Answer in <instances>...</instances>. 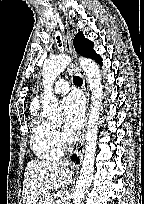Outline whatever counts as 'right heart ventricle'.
<instances>
[{"label":"right heart ventricle","instance_id":"1","mask_svg":"<svg viewBox=\"0 0 144 204\" xmlns=\"http://www.w3.org/2000/svg\"><path fill=\"white\" fill-rule=\"evenodd\" d=\"M30 144L33 153L40 160L55 161L63 154V148L54 136L53 126L36 109L31 114Z\"/></svg>","mask_w":144,"mask_h":204}]
</instances>
